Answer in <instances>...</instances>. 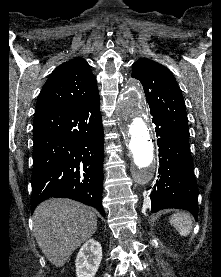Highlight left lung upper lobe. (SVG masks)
Returning <instances> with one entry per match:
<instances>
[{
    "label": "left lung upper lobe",
    "mask_w": 221,
    "mask_h": 277,
    "mask_svg": "<svg viewBox=\"0 0 221 277\" xmlns=\"http://www.w3.org/2000/svg\"><path fill=\"white\" fill-rule=\"evenodd\" d=\"M132 67V77L144 87L150 113L158 115L182 137L189 139L184 99L172 72L147 58L139 59Z\"/></svg>",
    "instance_id": "left-lung-upper-lobe-1"
}]
</instances>
